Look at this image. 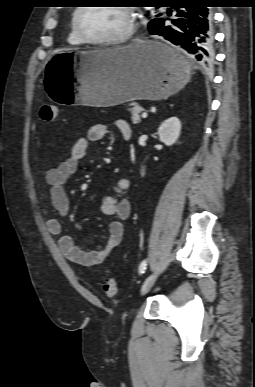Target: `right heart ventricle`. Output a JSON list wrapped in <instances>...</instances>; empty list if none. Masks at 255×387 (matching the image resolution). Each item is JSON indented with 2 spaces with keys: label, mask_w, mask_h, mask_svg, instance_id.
Instances as JSON below:
<instances>
[{
  "label": "right heart ventricle",
  "mask_w": 255,
  "mask_h": 387,
  "mask_svg": "<svg viewBox=\"0 0 255 387\" xmlns=\"http://www.w3.org/2000/svg\"><path fill=\"white\" fill-rule=\"evenodd\" d=\"M68 42L72 45H82L83 44V42L75 34L73 26H72V22H71L70 30L68 33Z\"/></svg>",
  "instance_id": "1"
}]
</instances>
